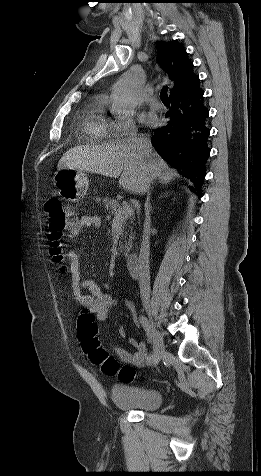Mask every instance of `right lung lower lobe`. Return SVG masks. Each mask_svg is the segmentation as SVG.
I'll return each instance as SVG.
<instances>
[{
    "label": "right lung lower lobe",
    "instance_id": "obj_1",
    "mask_svg": "<svg viewBox=\"0 0 261 476\" xmlns=\"http://www.w3.org/2000/svg\"><path fill=\"white\" fill-rule=\"evenodd\" d=\"M203 95L198 76L188 87L171 95V107L166 113L169 121L157 128L151 138L158 153L194 183V191L198 194L210 155L209 112Z\"/></svg>",
    "mask_w": 261,
    "mask_h": 476
}]
</instances>
